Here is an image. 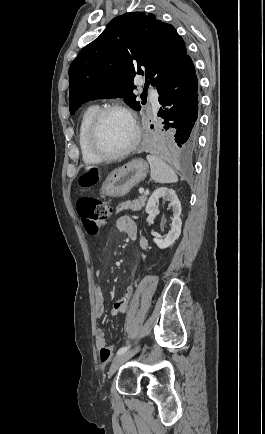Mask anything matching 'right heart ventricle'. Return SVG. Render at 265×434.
<instances>
[{
	"mask_svg": "<svg viewBox=\"0 0 265 434\" xmlns=\"http://www.w3.org/2000/svg\"><path fill=\"white\" fill-rule=\"evenodd\" d=\"M99 108L100 107L96 104L87 106L82 112L79 121L77 144L81 161L86 166L99 165L103 161V159L94 152L89 141L92 120Z\"/></svg>",
	"mask_w": 265,
	"mask_h": 434,
	"instance_id": "1",
	"label": "right heart ventricle"
}]
</instances>
